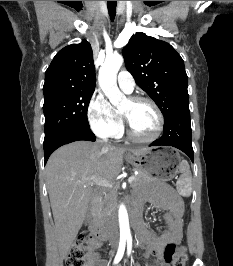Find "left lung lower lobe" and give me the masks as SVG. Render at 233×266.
Segmentation results:
<instances>
[{
	"mask_svg": "<svg viewBox=\"0 0 233 266\" xmlns=\"http://www.w3.org/2000/svg\"><path fill=\"white\" fill-rule=\"evenodd\" d=\"M150 146L176 147L186 153L193 162L189 105L180 107L168 117L162 137L152 142Z\"/></svg>",
	"mask_w": 233,
	"mask_h": 266,
	"instance_id": "left-lung-lower-lobe-1",
	"label": "left lung lower lobe"
}]
</instances>
